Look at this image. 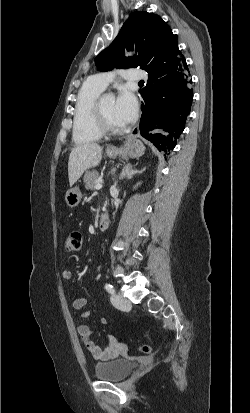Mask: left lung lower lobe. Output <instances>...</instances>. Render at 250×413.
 <instances>
[{
	"mask_svg": "<svg viewBox=\"0 0 250 413\" xmlns=\"http://www.w3.org/2000/svg\"><path fill=\"white\" fill-rule=\"evenodd\" d=\"M147 70L142 96L140 133L160 151L173 150L191 110L192 80L177 42H162Z\"/></svg>",
	"mask_w": 250,
	"mask_h": 413,
	"instance_id": "left-lung-lower-lobe-1",
	"label": "left lung lower lobe"
}]
</instances>
